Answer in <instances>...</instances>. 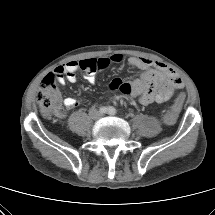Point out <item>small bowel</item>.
<instances>
[{"label": "small bowel", "mask_w": 215, "mask_h": 215, "mask_svg": "<svg viewBox=\"0 0 215 215\" xmlns=\"http://www.w3.org/2000/svg\"><path fill=\"white\" fill-rule=\"evenodd\" d=\"M122 61L123 56L117 53L103 58L72 60L57 67L51 74L58 79L60 84L64 85L66 81L74 83L77 79L76 73L82 71L88 83L95 84L98 71L106 69L112 63ZM128 63L141 69V75L131 82L115 78L110 83V89L136 98L142 105L165 102L175 90L183 87V81L172 69L161 62L133 56L128 59ZM63 104L66 108H73L78 105V101L73 97H67Z\"/></svg>", "instance_id": "1"}]
</instances>
